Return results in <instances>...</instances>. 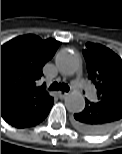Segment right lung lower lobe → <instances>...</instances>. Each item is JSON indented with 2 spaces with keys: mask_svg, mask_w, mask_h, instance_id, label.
Wrapping results in <instances>:
<instances>
[{
  "mask_svg": "<svg viewBox=\"0 0 122 154\" xmlns=\"http://www.w3.org/2000/svg\"><path fill=\"white\" fill-rule=\"evenodd\" d=\"M52 105H53V102L43 112L32 115V116L28 117L27 119L13 125V126L17 127V128H25V127H32V126L39 124L49 114Z\"/></svg>",
  "mask_w": 122,
  "mask_h": 154,
  "instance_id": "obj_1",
  "label": "right lung lower lobe"
}]
</instances>
